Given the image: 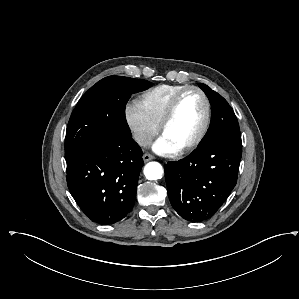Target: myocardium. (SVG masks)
Masks as SVG:
<instances>
[{"mask_svg":"<svg viewBox=\"0 0 299 299\" xmlns=\"http://www.w3.org/2000/svg\"><path fill=\"white\" fill-rule=\"evenodd\" d=\"M190 91H195L202 97L203 102H204V108H205L204 119H203V122H202V125H201L199 131L194 136V138L191 139L187 144H185L184 146L179 148L178 151L180 153H186L201 143V141L203 140V138L205 137V135L208 131L210 121H211V105H210V101H209V98L207 97L206 93L199 87L186 86L172 98L171 102L169 103L168 107L166 108L165 113H164V115L160 121V124H159L160 134L161 135L163 134L165 128L168 126V124L173 119L181 98L186 93H188Z\"/></svg>","mask_w":299,"mask_h":299,"instance_id":"1","label":"myocardium"}]
</instances>
